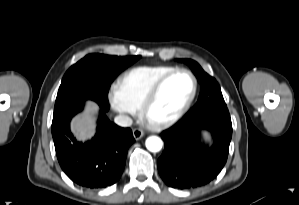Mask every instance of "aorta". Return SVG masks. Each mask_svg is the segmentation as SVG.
I'll list each match as a JSON object with an SVG mask.
<instances>
[{"instance_id": "obj_1", "label": "aorta", "mask_w": 299, "mask_h": 205, "mask_svg": "<svg viewBox=\"0 0 299 205\" xmlns=\"http://www.w3.org/2000/svg\"><path fill=\"white\" fill-rule=\"evenodd\" d=\"M146 148L151 152H158L162 149L163 142L157 136H150L145 142Z\"/></svg>"}]
</instances>
